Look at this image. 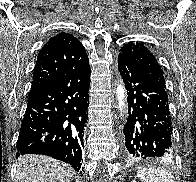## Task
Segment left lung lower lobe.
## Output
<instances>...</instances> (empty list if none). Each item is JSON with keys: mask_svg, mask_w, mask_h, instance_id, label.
Returning <instances> with one entry per match:
<instances>
[{"mask_svg": "<svg viewBox=\"0 0 196 182\" xmlns=\"http://www.w3.org/2000/svg\"><path fill=\"white\" fill-rule=\"evenodd\" d=\"M118 69L128 95V118L124 125L127 157L170 156L172 126L166 88L126 57L118 56Z\"/></svg>", "mask_w": 196, "mask_h": 182, "instance_id": "1", "label": "left lung lower lobe"}]
</instances>
